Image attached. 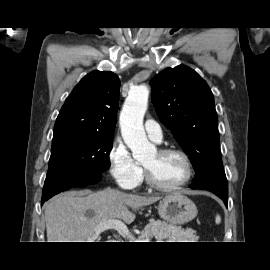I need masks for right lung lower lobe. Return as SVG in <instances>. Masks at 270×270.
I'll list each match as a JSON object with an SVG mask.
<instances>
[{
    "label": "right lung lower lobe",
    "instance_id": "1",
    "mask_svg": "<svg viewBox=\"0 0 270 270\" xmlns=\"http://www.w3.org/2000/svg\"><path fill=\"white\" fill-rule=\"evenodd\" d=\"M101 175L88 177L77 175L72 171L66 170L58 174L46 177L41 204L50 199L55 194L65 191L71 187L86 186L87 184L97 183Z\"/></svg>",
    "mask_w": 270,
    "mask_h": 270
}]
</instances>
